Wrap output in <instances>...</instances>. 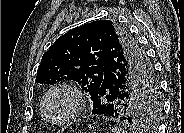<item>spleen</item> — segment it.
<instances>
[{"label":"spleen","mask_w":184,"mask_h":133,"mask_svg":"<svg viewBox=\"0 0 184 133\" xmlns=\"http://www.w3.org/2000/svg\"><path fill=\"white\" fill-rule=\"evenodd\" d=\"M113 132L114 133H124V132H122V130H119V129H113Z\"/></svg>","instance_id":"3e777b00"}]
</instances>
